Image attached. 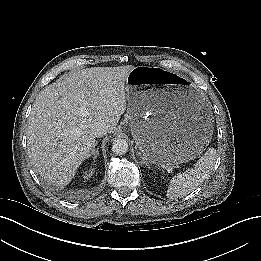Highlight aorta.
<instances>
[{"label": "aorta", "mask_w": 261, "mask_h": 261, "mask_svg": "<svg viewBox=\"0 0 261 261\" xmlns=\"http://www.w3.org/2000/svg\"><path fill=\"white\" fill-rule=\"evenodd\" d=\"M112 151L118 155H124L128 151V143L124 139H115L112 143Z\"/></svg>", "instance_id": "aorta-1"}]
</instances>
